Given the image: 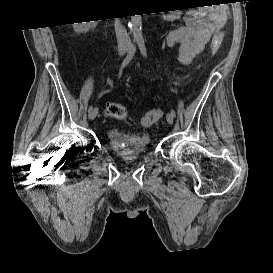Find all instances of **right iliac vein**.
<instances>
[{
	"instance_id": "right-iliac-vein-1",
	"label": "right iliac vein",
	"mask_w": 273,
	"mask_h": 273,
	"mask_svg": "<svg viewBox=\"0 0 273 273\" xmlns=\"http://www.w3.org/2000/svg\"><path fill=\"white\" fill-rule=\"evenodd\" d=\"M125 52H126V50H121L120 51V56H123L125 54ZM97 114H98V109L93 108L88 114L89 120H94L96 118Z\"/></svg>"
}]
</instances>
